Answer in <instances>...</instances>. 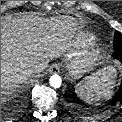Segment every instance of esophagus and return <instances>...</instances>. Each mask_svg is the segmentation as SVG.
I'll list each match as a JSON object with an SVG mask.
<instances>
[{
    "label": "esophagus",
    "mask_w": 122,
    "mask_h": 122,
    "mask_svg": "<svg viewBox=\"0 0 122 122\" xmlns=\"http://www.w3.org/2000/svg\"><path fill=\"white\" fill-rule=\"evenodd\" d=\"M48 71L50 74L59 73L60 72V66L58 64H53L50 66Z\"/></svg>",
    "instance_id": "1"
}]
</instances>
